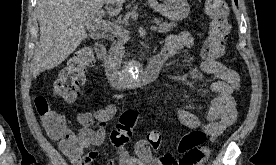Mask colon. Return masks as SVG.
<instances>
[{"label": "colon", "mask_w": 276, "mask_h": 165, "mask_svg": "<svg viewBox=\"0 0 276 165\" xmlns=\"http://www.w3.org/2000/svg\"><path fill=\"white\" fill-rule=\"evenodd\" d=\"M204 8L210 23L208 35L202 48V57L205 60H217L224 53L231 29L229 7L225 0H204ZM94 60V54L90 47L84 46L77 50L55 81V94L67 102L74 101L79 94L80 87L85 82V72L93 66ZM34 103L47 132L60 141L64 150L76 151L78 142L74 135L67 130L62 115L51 109L45 97H36ZM137 116L136 110H127L121 115L118 125L110 135L113 146L124 147L130 142ZM205 142L206 133L204 131L192 130L180 139L177 149L183 156L197 157ZM162 144L161 133L152 131L137 144V150L154 153Z\"/></svg>", "instance_id": "colon-1"}]
</instances>
